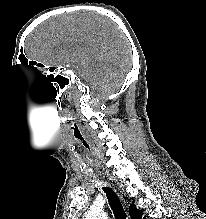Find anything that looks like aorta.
Returning <instances> with one entry per match:
<instances>
[{"label": "aorta", "instance_id": "1", "mask_svg": "<svg viewBox=\"0 0 206 219\" xmlns=\"http://www.w3.org/2000/svg\"><path fill=\"white\" fill-rule=\"evenodd\" d=\"M86 219H107L104 213H91Z\"/></svg>", "mask_w": 206, "mask_h": 219}]
</instances>
